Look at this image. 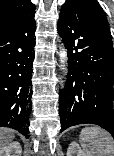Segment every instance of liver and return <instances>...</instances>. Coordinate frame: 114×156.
<instances>
[{"label": "liver", "instance_id": "obj_1", "mask_svg": "<svg viewBox=\"0 0 114 156\" xmlns=\"http://www.w3.org/2000/svg\"><path fill=\"white\" fill-rule=\"evenodd\" d=\"M14 131L9 128H0V150L6 147L14 138Z\"/></svg>", "mask_w": 114, "mask_h": 156}]
</instances>
